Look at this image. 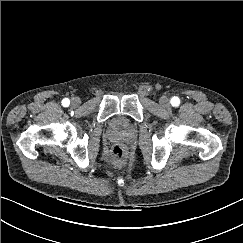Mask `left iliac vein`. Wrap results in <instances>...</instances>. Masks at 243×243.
<instances>
[{
    "label": "left iliac vein",
    "instance_id": "obj_1",
    "mask_svg": "<svg viewBox=\"0 0 243 243\" xmlns=\"http://www.w3.org/2000/svg\"><path fill=\"white\" fill-rule=\"evenodd\" d=\"M159 103H160V105L162 106V107H164V108H167V107H169V99L167 98V97H165V96H162L161 98H160V100H159Z\"/></svg>",
    "mask_w": 243,
    "mask_h": 243
}]
</instances>
